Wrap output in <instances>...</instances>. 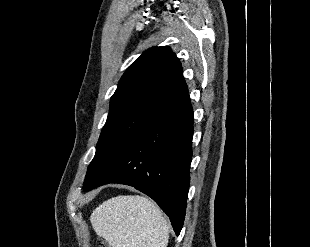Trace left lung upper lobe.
<instances>
[{"label": "left lung upper lobe", "mask_w": 310, "mask_h": 247, "mask_svg": "<svg viewBox=\"0 0 310 247\" xmlns=\"http://www.w3.org/2000/svg\"><path fill=\"white\" fill-rule=\"evenodd\" d=\"M188 94L180 61L167 46L145 51L125 71L84 180L89 190L142 132Z\"/></svg>", "instance_id": "left-lung-upper-lobe-1"}]
</instances>
